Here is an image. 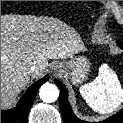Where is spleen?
Segmentation results:
<instances>
[{"instance_id": "1", "label": "spleen", "mask_w": 123, "mask_h": 123, "mask_svg": "<svg viewBox=\"0 0 123 123\" xmlns=\"http://www.w3.org/2000/svg\"><path fill=\"white\" fill-rule=\"evenodd\" d=\"M81 96L96 112L113 113L123 102V89L116 73L107 64L99 68L94 81L80 87Z\"/></svg>"}]
</instances>
